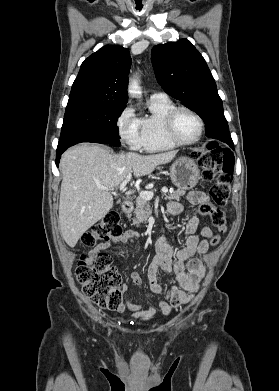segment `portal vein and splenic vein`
<instances>
[{
    "label": "portal vein and splenic vein",
    "instance_id": "18ae733b",
    "mask_svg": "<svg viewBox=\"0 0 279 391\" xmlns=\"http://www.w3.org/2000/svg\"><path fill=\"white\" fill-rule=\"evenodd\" d=\"M131 177H132V175L129 173L126 176L125 180L120 184V190H125V187H126L127 183L131 180ZM99 189L106 190V191L110 190V188H107L104 186H99ZM162 192L167 193L168 189L166 187H163ZM131 194H132V191L126 192V195H131ZM153 195H154L153 191H141L140 192V197L143 198L144 200H151L153 198Z\"/></svg>",
    "mask_w": 279,
    "mask_h": 391
}]
</instances>
